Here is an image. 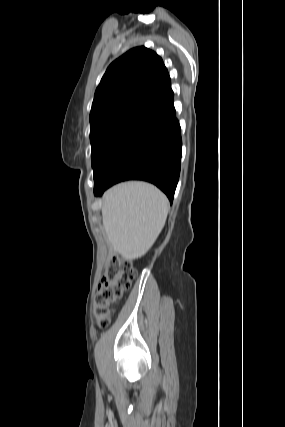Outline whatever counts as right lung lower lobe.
<instances>
[{
    "label": "right lung lower lobe",
    "instance_id": "98d812e1",
    "mask_svg": "<svg viewBox=\"0 0 285 427\" xmlns=\"http://www.w3.org/2000/svg\"><path fill=\"white\" fill-rule=\"evenodd\" d=\"M173 91L148 107L130 129L104 168L94 177V194L120 181L155 184L172 203L180 174L181 135Z\"/></svg>",
    "mask_w": 285,
    "mask_h": 427
}]
</instances>
